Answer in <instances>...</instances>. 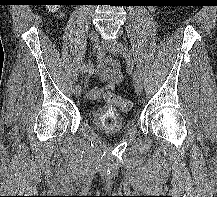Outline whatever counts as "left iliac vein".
Here are the masks:
<instances>
[{"label": "left iliac vein", "instance_id": "4c4485c4", "mask_svg": "<svg viewBox=\"0 0 217 197\" xmlns=\"http://www.w3.org/2000/svg\"><path fill=\"white\" fill-rule=\"evenodd\" d=\"M103 44L105 45L106 49L112 54H115V55L122 54V51L119 48V43L116 40L105 41L103 42ZM129 71L132 75L135 92L137 94H141L143 91V82H142L140 74L136 70H133V68H131Z\"/></svg>", "mask_w": 217, "mask_h": 197}]
</instances>
